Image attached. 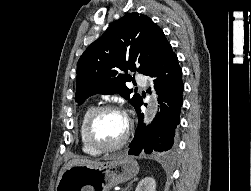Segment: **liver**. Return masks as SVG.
I'll list each match as a JSON object with an SVG mask.
<instances>
[{
	"mask_svg": "<svg viewBox=\"0 0 251 191\" xmlns=\"http://www.w3.org/2000/svg\"><path fill=\"white\" fill-rule=\"evenodd\" d=\"M96 163L97 161H92V159H88V157H84V159H70V161L62 167L61 171H59L57 185L62 173H64L65 169H68V167H73V165H96Z\"/></svg>",
	"mask_w": 251,
	"mask_h": 191,
	"instance_id": "obj_1",
	"label": "liver"
}]
</instances>
